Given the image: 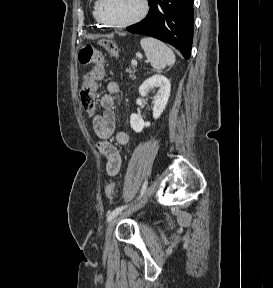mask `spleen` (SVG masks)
<instances>
[{"mask_svg":"<svg viewBox=\"0 0 273 288\" xmlns=\"http://www.w3.org/2000/svg\"><path fill=\"white\" fill-rule=\"evenodd\" d=\"M140 44L153 68L160 70L174 65L176 61L175 54L163 42L146 37L141 39Z\"/></svg>","mask_w":273,"mask_h":288,"instance_id":"3e777b00","label":"spleen"}]
</instances>
